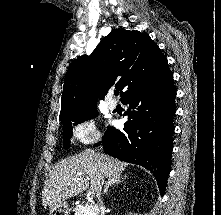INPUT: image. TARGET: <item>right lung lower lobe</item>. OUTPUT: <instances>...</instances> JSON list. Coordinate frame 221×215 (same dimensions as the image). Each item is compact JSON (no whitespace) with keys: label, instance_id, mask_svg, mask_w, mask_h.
<instances>
[{"label":"right lung lower lobe","instance_id":"obj_1","mask_svg":"<svg viewBox=\"0 0 221 215\" xmlns=\"http://www.w3.org/2000/svg\"><path fill=\"white\" fill-rule=\"evenodd\" d=\"M175 97L173 75L168 69L121 100L129 105L124 129L111 127L102 139L108 155L149 169L161 194L170 173Z\"/></svg>","mask_w":221,"mask_h":215}]
</instances>
